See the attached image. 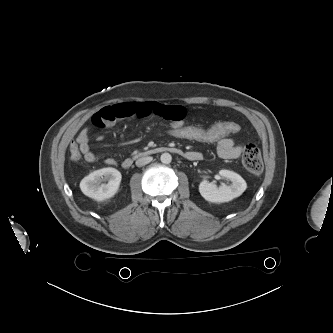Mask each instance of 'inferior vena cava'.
Listing matches in <instances>:
<instances>
[{"label":"inferior vena cava","instance_id":"602c4592","mask_svg":"<svg viewBox=\"0 0 333 333\" xmlns=\"http://www.w3.org/2000/svg\"><path fill=\"white\" fill-rule=\"evenodd\" d=\"M152 161V157H142L136 160V166L142 167Z\"/></svg>","mask_w":333,"mask_h":333}]
</instances>
